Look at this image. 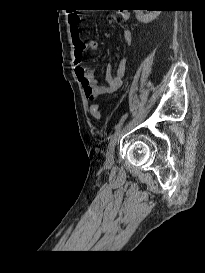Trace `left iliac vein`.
Masks as SVG:
<instances>
[{"instance_id": "left-iliac-vein-1", "label": "left iliac vein", "mask_w": 205, "mask_h": 273, "mask_svg": "<svg viewBox=\"0 0 205 273\" xmlns=\"http://www.w3.org/2000/svg\"><path fill=\"white\" fill-rule=\"evenodd\" d=\"M122 127H123V123H122V125H120V127L117 128L116 132L114 133V135L108 145L107 153H106V160L108 163H111L114 160L115 146L119 140Z\"/></svg>"}]
</instances>
